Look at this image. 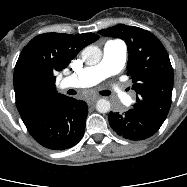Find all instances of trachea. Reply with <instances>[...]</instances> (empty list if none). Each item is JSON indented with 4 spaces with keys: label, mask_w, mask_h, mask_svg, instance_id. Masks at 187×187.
<instances>
[{
    "label": "trachea",
    "mask_w": 187,
    "mask_h": 187,
    "mask_svg": "<svg viewBox=\"0 0 187 187\" xmlns=\"http://www.w3.org/2000/svg\"><path fill=\"white\" fill-rule=\"evenodd\" d=\"M68 93H69V94H76V92H75L74 90H70ZM100 94H101V95H104V96H108V95L111 94V92L108 91V90H104V91H101Z\"/></svg>",
    "instance_id": "obj_1"
}]
</instances>
